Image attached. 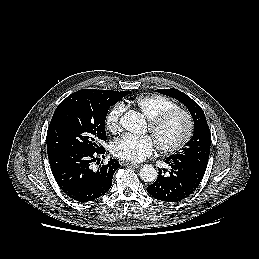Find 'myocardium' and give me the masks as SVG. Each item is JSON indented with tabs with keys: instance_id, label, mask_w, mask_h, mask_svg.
<instances>
[{
	"instance_id": "f54148a6",
	"label": "myocardium",
	"mask_w": 259,
	"mask_h": 259,
	"mask_svg": "<svg viewBox=\"0 0 259 259\" xmlns=\"http://www.w3.org/2000/svg\"><path fill=\"white\" fill-rule=\"evenodd\" d=\"M179 116L183 118L185 122V131L183 136L175 143L171 145H164L158 141H156V145L158 149L164 153V154H173L181 149H183L191 140L193 133H194V121L191 116V114L179 107L166 110L157 116H155L153 119L149 121V131L153 138L156 137V134L160 130V128L168 122L170 119Z\"/></svg>"
}]
</instances>
